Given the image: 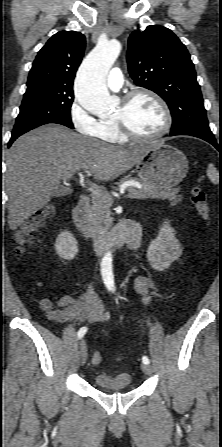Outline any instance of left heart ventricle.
Returning a JSON list of instances; mask_svg holds the SVG:
<instances>
[{"label": "left heart ventricle", "mask_w": 222, "mask_h": 447, "mask_svg": "<svg viewBox=\"0 0 222 447\" xmlns=\"http://www.w3.org/2000/svg\"><path fill=\"white\" fill-rule=\"evenodd\" d=\"M124 114L127 123L140 135H153L163 126L164 115L160 106L147 95H138L123 109L120 104L116 116Z\"/></svg>", "instance_id": "1"}]
</instances>
